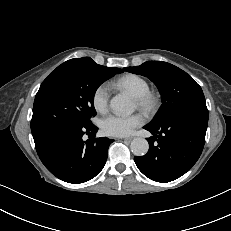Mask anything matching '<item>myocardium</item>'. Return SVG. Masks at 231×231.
I'll list each match as a JSON object with an SVG mask.
<instances>
[{
  "instance_id": "1",
  "label": "myocardium",
  "mask_w": 231,
  "mask_h": 231,
  "mask_svg": "<svg viewBox=\"0 0 231 231\" xmlns=\"http://www.w3.org/2000/svg\"><path fill=\"white\" fill-rule=\"evenodd\" d=\"M137 107L147 115L156 114L161 107V96L154 91H148L141 96L135 97Z\"/></svg>"
}]
</instances>
